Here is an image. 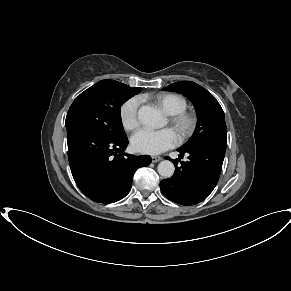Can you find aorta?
<instances>
[{
	"label": "aorta",
	"instance_id": "obj_1",
	"mask_svg": "<svg viewBox=\"0 0 291 291\" xmlns=\"http://www.w3.org/2000/svg\"><path fill=\"white\" fill-rule=\"evenodd\" d=\"M138 120L141 124L149 128H160L164 125V119L161 112L148 105L141 106L138 110ZM158 173L164 178L173 176L175 167L169 160H163L158 164Z\"/></svg>",
	"mask_w": 291,
	"mask_h": 291
}]
</instances>
